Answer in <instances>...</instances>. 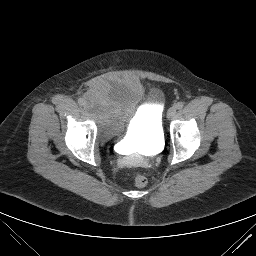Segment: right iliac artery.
Wrapping results in <instances>:
<instances>
[{
	"label": "right iliac artery",
	"mask_w": 256,
	"mask_h": 256,
	"mask_svg": "<svg viewBox=\"0 0 256 256\" xmlns=\"http://www.w3.org/2000/svg\"><path fill=\"white\" fill-rule=\"evenodd\" d=\"M78 103H79L80 105H84V104L86 103V101H85L84 98H79Z\"/></svg>",
	"instance_id": "1"
}]
</instances>
